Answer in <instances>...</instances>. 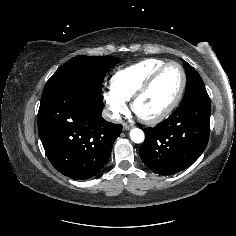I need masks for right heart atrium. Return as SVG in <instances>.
Returning a JSON list of instances; mask_svg holds the SVG:
<instances>
[{"label": "right heart atrium", "mask_w": 236, "mask_h": 236, "mask_svg": "<svg viewBox=\"0 0 236 236\" xmlns=\"http://www.w3.org/2000/svg\"><path fill=\"white\" fill-rule=\"evenodd\" d=\"M103 99L112 118H119L127 111V101L110 87L103 92Z\"/></svg>", "instance_id": "obj_1"}]
</instances>
